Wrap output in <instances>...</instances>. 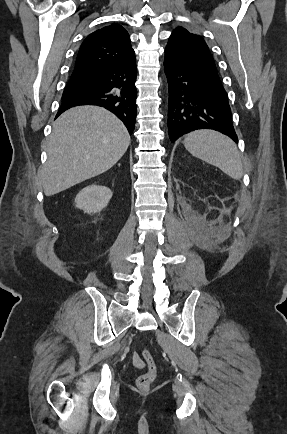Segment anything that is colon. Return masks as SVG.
Here are the masks:
<instances>
[{
  "instance_id": "colon-1",
  "label": "colon",
  "mask_w": 287,
  "mask_h": 434,
  "mask_svg": "<svg viewBox=\"0 0 287 434\" xmlns=\"http://www.w3.org/2000/svg\"><path fill=\"white\" fill-rule=\"evenodd\" d=\"M142 360L147 366V371L137 378L136 385L140 390L146 391L156 378L157 365L151 352L148 350H143Z\"/></svg>"
}]
</instances>
